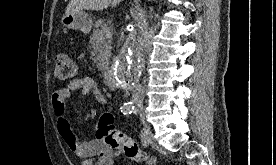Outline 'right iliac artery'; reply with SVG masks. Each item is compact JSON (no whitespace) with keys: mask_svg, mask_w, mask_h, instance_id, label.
Returning a JSON list of instances; mask_svg holds the SVG:
<instances>
[{"mask_svg":"<svg viewBox=\"0 0 276 165\" xmlns=\"http://www.w3.org/2000/svg\"><path fill=\"white\" fill-rule=\"evenodd\" d=\"M120 109H121V112L124 115H128V114H131L134 111L135 107L133 106V104L131 102H126L121 106ZM142 137H143L144 143L146 144L147 143V137L145 135V132L144 133L142 132Z\"/></svg>","mask_w":276,"mask_h":165,"instance_id":"right-iliac-artery-1","label":"right iliac artery"}]
</instances>
